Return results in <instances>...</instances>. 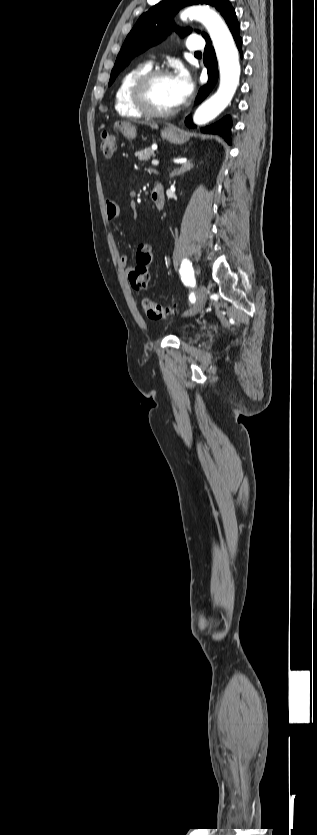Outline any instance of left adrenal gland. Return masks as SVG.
Segmentation results:
<instances>
[{"label":"left adrenal gland","instance_id":"1","mask_svg":"<svg viewBox=\"0 0 317 835\" xmlns=\"http://www.w3.org/2000/svg\"><path fill=\"white\" fill-rule=\"evenodd\" d=\"M193 166L194 165L189 160V161L185 162L180 168L174 169L173 172L171 173L170 177L172 178L174 176H178L180 174H183L184 172L191 170V168H193Z\"/></svg>","mask_w":317,"mask_h":835}]
</instances>
